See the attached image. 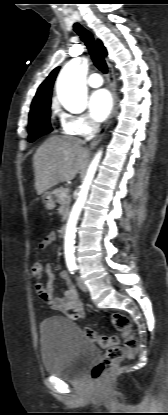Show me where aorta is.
<instances>
[{
  "label": "aorta",
  "mask_w": 168,
  "mask_h": 415,
  "mask_svg": "<svg viewBox=\"0 0 168 415\" xmlns=\"http://www.w3.org/2000/svg\"><path fill=\"white\" fill-rule=\"evenodd\" d=\"M87 69V60L85 58H76L67 63L58 76L56 85L58 99L63 107L70 112L80 113L86 109L87 87L85 80ZM101 156L102 150H99L91 161L81 185L78 198L68 218L64 236V250L68 265L75 264L74 239L76 225L82 208L87 200L89 189L97 171Z\"/></svg>",
  "instance_id": "762f6f07"
}]
</instances>
